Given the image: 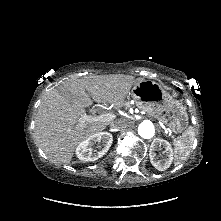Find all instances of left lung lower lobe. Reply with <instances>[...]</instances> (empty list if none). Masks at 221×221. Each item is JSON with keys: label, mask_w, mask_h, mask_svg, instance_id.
I'll return each mask as SVG.
<instances>
[{"label": "left lung lower lobe", "mask_w": 221, "mask_h": 221, "mask_svg": "<svg viewBox=\"0 0 221 221\" xmlns=\"http://www.w3.org/2000/svg\"><path fill=\"white\" fill-rule=\"evenodd\" d=\"M177 89L181 92V90L179 88H177Z\"/></svg>", "instance_id": "1"}]
</instances>
